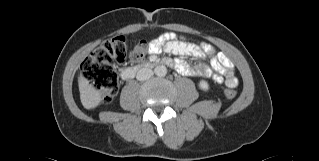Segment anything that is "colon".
Returning <instances> with one entry per match:
<instances>
[{
  "mask_svg": "<svg viewBox=\"0 0 319 161\" xmlns=\"http://www.w3.org/2000/svg\"><path fill=\"white\" fill-rule=\"evenodd\" d=\"M147 55L146 43L140 42L128 53L127 43L124 37L117 36L106 40L85 59L82 65L84 78L97 90L103 102L113 100L119 87L115 66L127 59L133 63H139ZM235 84H227L224 94L227 98L236 96Z\"/></svg>",
  "mask_w": 319,
  "mask_h": 161,
  "instance_id": "5ec220e1",
  "label": "colon"
}]
</instances>
